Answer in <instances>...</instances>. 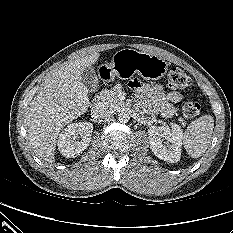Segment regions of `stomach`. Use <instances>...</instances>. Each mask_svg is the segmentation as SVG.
<instances>
[{"label": "stomach", "mask_w": 233, "mask_h": 233, "mask_svg": "<svg viewBox=\"0 0 233 233\" xmlns=\"http://www.w3.org/2000/svg\"><path fill=\"white\" fill-rule=\"evenodd\" d=\"M105 67L112 75L129 77L136 73L146 80H158L167 72V63L162 58L130 48L117 51Z\"/></svg>", "instance_id": "0dacf381"}]
</instances>
